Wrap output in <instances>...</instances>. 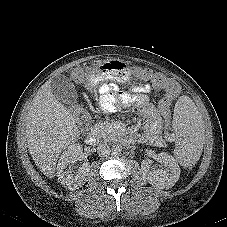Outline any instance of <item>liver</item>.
<instances>
[{
  "instance_id": "6515ba94",
  "label": "liver",
  "mask_w": 227,
  "mask_h": 227,
  "mask_svg": "<svg viewBox=\"0 0 227 227\" xmlns=\"http://www.w3.org/2000/svg\"><path fill=\"white\" fill-rule=\"evenodd\" d=\"M51 80L34 97L26 118L29 153L40 171L52 179L62 150L80 135L76 119L52 93Z\"/></svg>"
}]
</instances>
